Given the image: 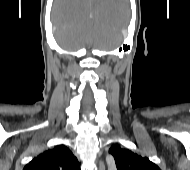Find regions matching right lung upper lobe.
<instances>
[{
  "label": "right lung upper lobe",
  "mask_w": 190,
  "mask_h": 170,
  "mask_svg": "<svg viewBox=\"0 0 190 170\" xmlns=\"http://www.w3.org/2000/svg\"><path fill=\"white\" fill-rule=\"evenodd\" d=\"M23 170H80V164L66 146L58 145L35 157Z\"/></svg>",
  "instance_id": "obj_1"
}]
</instances>
